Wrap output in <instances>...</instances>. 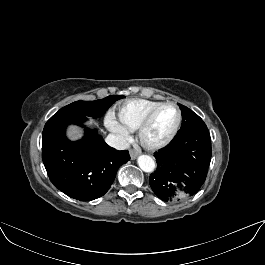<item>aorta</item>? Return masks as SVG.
I'll list each match as a JSON object with an SVG mask.
<instances>
[{"label": "aorta", "instance_id": "aorta-1", "mask_svg": "<svg viewBox=\"0 0 265 265\" xmlns=\"http://www.w3.org/2000/svg\"><path fill=\"white\" fill-rule=\"evenodd\" d=\"M137 162L144 172H152L155 169V161L148 155H140Z\"/></svg>", "mask_w": 265, "mask_h": 265}]
</instances>
